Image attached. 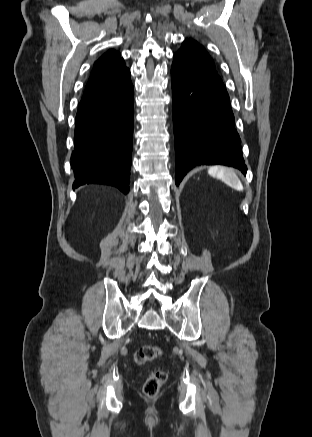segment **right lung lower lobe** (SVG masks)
<instances>
[{
	"label": "right lung lower lobe",
	"mask_w": 312,
	"mask_h": 437,
	"mask_svg": "<svg viewBox=\"0 0 312 437\" xmlns=\"http://www.w3.org/2000/svg\"><path fill=\"white\" fill-rule=\"evenodd\" d=\"M133 93L129 72L116 85L79 103L71 156L73 189L105 184L128 193Z\"/></svg>",
	"instance_id": "1"
}]
</instances>
